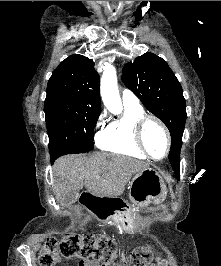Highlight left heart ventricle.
<instances>
[{
    "label": "left heart ventricle",
    "mask_w": 221,
    "mask_h": 266,
    "mask_svg": "<svg viewBox=\"0 0 221 266\" xmlns=\"http://www.w3.org/2000/svg\"><path fill=\"white\" fill-rule=\"evenodd\" d=\"M144 143L152 156L161 158L166 150V139L159 126L150 121L143 132Z\"/></svg>",
    "instance_id": "obj_1"
}]
</instances>
